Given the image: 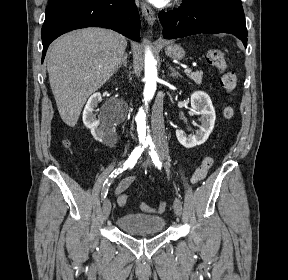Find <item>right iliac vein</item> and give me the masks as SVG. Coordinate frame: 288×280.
I'll list each match as a JSON object with an SVG mask.
<instances>
[{"mask_svg": "<svg viewBox=\"0 0 288 280\" xmlns=\"http://www.w3.org/2000/svg\"><path fill=\"white\" fill-rule=\"evenodd\" d=\"M111 212V202L109 199H105L103 203V219H108Z\"/></svg>", "mask_w": 288, "mask_h": 280, "instance_id": "right-iliac-vein-1", "label": "right iliac vein"}]
</instances>
